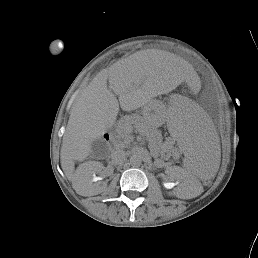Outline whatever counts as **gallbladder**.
Segmentation results:
<instances>
[{"mask_svg":"<svg viewBox=\"0 0 258 258\" xmlns=\"http://www.w3.org/2000/svg\"><path fill=\"white\" fill-rule=\"evenodd\" d=\"M89 146H90L91 151H95L96 149L101 147V144L97 139H94L90 142Z\"/></svg>","mask_w":258,"mask_h":258,"instance_id":"1","label":"gallbladder"}]
</instances>
